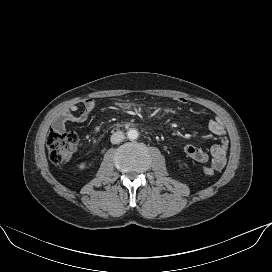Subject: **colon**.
<instances>
[{
    "label": "colon",
    "instance_id": "5ec220e1",
    "mask_svg": "<svg viewBox=\"0 0 272 272\" xmlns=\"http://www.w3.org/2000/svg\"><path fill=\"white\" fill-rule=\"evenodd\" d=\"M78 143L77 135L72 131H58L51 129L47 136V148L52 163L61 165L70 160ZM203 173L207 176L214 175L212 167H203Z\"/></svg>",
    "mask_w": 272,
    "mask_h": 272
}]
</instances>
